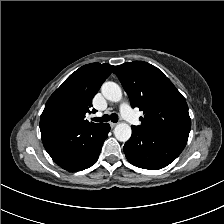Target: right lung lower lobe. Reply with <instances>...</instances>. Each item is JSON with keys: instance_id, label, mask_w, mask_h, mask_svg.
I'll list each match as a JSON object with an SVG mask.
<instances>
[{"instance_id": "98d812e1", "label": "right lung lower lobe", "mask_w": 224, "mask_h": 224, "mask_svg": "<svg viewBox=\"0 0 224 224\" xmlns=\"http://www.w3.org/2000/svg\"><path fill=\"white\" fill-rule=\"evenodd\" d=\"M43 145L53 161L67 171H81L98 159L110 131L109 124L80 126L55 119H41Z\"/></svg>"}]
</instances>
